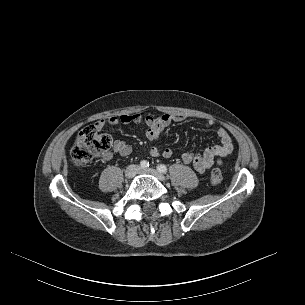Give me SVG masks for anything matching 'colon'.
<instances>
[{
    "instance_id": "colon-1",
    "label": "colon",
    "mask_w": 305,
    "mask_h": 305,
    "mask_svg": "<svg viewBox=\"0 0 305 305\" xmlns=\"http://www.w3.org/2000/svg\"><path fill=\"white\" fill-rule=\"evenodd\" d=\"M112 138L109 134L101 132L95 125H89L79 131L75 144L71 150V160L79 167L89 165L99 154L109 150ZM223 179L222 172L214 169L210 175L212 184H219Z\"/></svg>"
}]
</instances>
